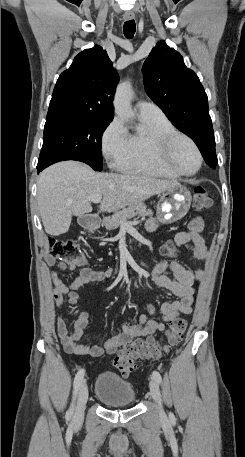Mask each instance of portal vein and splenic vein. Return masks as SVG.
<instances>
[{"instance_id":"portal-vein-and-splenic-vein-1","label":"portal vein and splenic vein","mask_w":245,"mask_h":457,"mask_svg":"<svg viewBox=\"0 0 245 457\" xmlns=\"http://www.w3.org/2000/svg\"><path fill=\"white\" fill-rule=\"evenodd\" d=\"M102 198V194H96V196H91V198H88V200H92V202H100Z\"/></svg>"}]
</instances>
